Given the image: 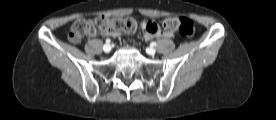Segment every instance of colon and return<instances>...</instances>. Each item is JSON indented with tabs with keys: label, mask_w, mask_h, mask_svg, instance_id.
Listing matches in <instances>:
<instances>
[{
	"label": "colon",
	"mask_w": 276,
	"mask_h": 120,
	"mask_svg": "<svg viewBox=\"0 0 276 120\" xmlns=\"http://www.w3.org/2000/svg\"><path fill=\"white\" fill-rule=\"evenodd\" d=\"M137 21L132 17L110 18L105 15L94 19H78L71 24L68 39L73 43H78L86 35H94L97 32L114 35L117 33H134L137 29ZM162 27L166 33L178 32L183 37H191L195 32L194 23L185 17H171L163 21ZM148 32H156L160 29L154 21L145 23Z\"/></svg>",
	"instance_id": "colon-1"
}]
</instances>
